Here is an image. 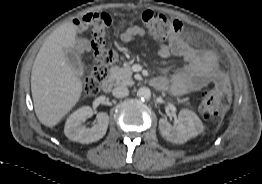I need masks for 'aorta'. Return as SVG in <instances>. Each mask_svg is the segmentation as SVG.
Instances as JSON below:
<instances>
[{
	"label": "aorta",
	"instance_id": "aorta-1",
	"mask_svg": "<svg viewBox=\"0 0 262 184\" xmlns=\"http://www.w3.org/2000/svg\"><path fill=\"white\" fill-rule=\"evenodd\" d=\"M137 96L142 100H148L151 97V91L147 87H141L137 92Z\"/></svg>",
	"mask_w": 262,
	"mask_h": 184
}]
</instances>
